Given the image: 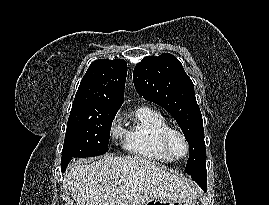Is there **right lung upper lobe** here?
Listing matches in <instances>:
<instances>
[{
  "mask_svg": "<svg viewBox=\"0 0 269 205\" xmlns=\"http://www.w3.org/2000/svg\"><path fill=\"white\" fill-rule=\"evenodd\" d=\"M127 63L122 59H99L81 80L71 110L117 113L124 101Z\"/></svg>",
  "mask_w": 269,
  "mask_h": 205,
  "instance_id": "obj_1",
  "label": "right lung upper lobe"
}]
</instances>
